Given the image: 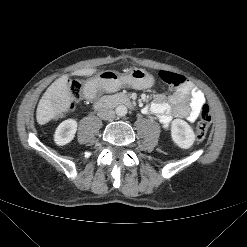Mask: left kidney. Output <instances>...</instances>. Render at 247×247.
I'll return each mask as SVG.
<instances>
[{
	"label": "left kidney",
	"mask_w": 247,
	"mask_h": 247,
	"mask_svg": "<svg viewBox=\"0 0 247 247\" xmlns=\"http://www.w3.org/2000/svg\"><path fill=\"white\" fill-rule=\"evenodd\" d=\"M171 137L173 142L182 149H189L195 141L193 129L182 119L172 121Z\"/></svg>",
	"instance_id": "5707ae66"
}]
</instances>
